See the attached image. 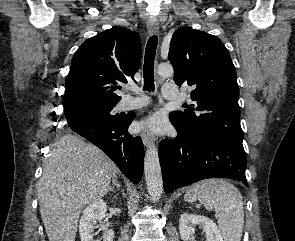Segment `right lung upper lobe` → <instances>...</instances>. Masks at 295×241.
<instances>
[{"label": "right lung upper lobe", "instance_id": "right-lung-upper-lobe-1", "mask_svg": "<svg viewBox=\"0 0 295 241\" xmlns=\"http://www.w3.org/2000/svg\"><path fill=\"white\" fill-rule=\"evenodd\" d=\"M141 55L139 35L123 27L87 39L74 54L65 81L64 112L117 104V84L134 78Z\"/></svg>", "mask_w": 295, "mask_h": 241}]
</instances>
